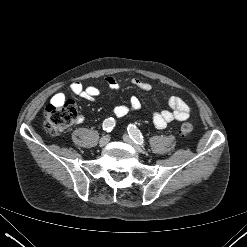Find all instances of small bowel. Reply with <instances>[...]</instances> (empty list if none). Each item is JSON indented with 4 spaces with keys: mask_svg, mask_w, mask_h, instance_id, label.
I'll return each mask as SVG.
<instances>
[{
    "mask_svg": "<svg viewBox=\"0 0 247 247\" xmlns=\"http://www.w3.org/2000/svg\"><path fill=\"white\" fill-rule=\"evenodd\" d=\"M106 84L112 90H118L119 86L113 77L106 78ZM131 83L142 91H149L152 85L149 82L139 78H132ZM71 91L86 100L94 101L99 95L100 90L96 86H84L81 82L76 81L70 85ZM64 94L57 93L52 97V103H61L64 101ZM169 109L155 112L152 116L153 124L158 129H164L172 121H185L189 118L190 108L188 104L177 96H172L168 100ZM141 108V101L138 97L132 96L128 104L118 105L113 108V114L117 118H122L130 112L137 111ZM81 121V118H78Z\"/></svg>",
    "mask_w": 247,
    "mask_h": 247,
    "instance_id": "c3829d8e",
    "label": "small bowel"
}]
</instances>
